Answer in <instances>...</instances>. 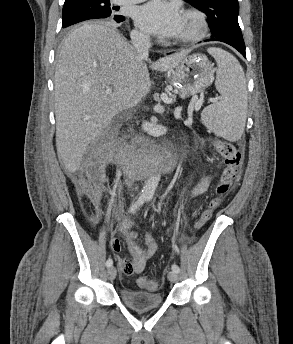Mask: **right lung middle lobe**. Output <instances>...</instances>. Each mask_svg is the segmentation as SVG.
Segmentation results:
<instances>
[{
  "instance_id": "right-lung-middle-lobe-1",
  "label": "right lung middle lobe",
  "mask_w": 293,
  "mask_h": 344,
  "mask_svg": "<svg viewBox=\"0 0 293 344\" xmlns=\"http://www.w3.org/2000/svg\"><path fill=\"white\" fill-rule=\"evenodd\" d=\"M111 11L110 0H79L66 3L62 12V27L66 28L90 19L119 17V15H112Z\"/></svg>"
}]
</instances>
